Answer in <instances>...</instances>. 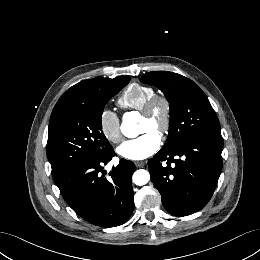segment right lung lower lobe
<instances>
[{"instance_id":"right-lung-lower-lobe-1","label":"right lung lower lobe","mask_w":260,"mask_h":260,"mask_svg":"<svg viewBox=\"0 0 260 260\" xmlns=\"http://www.w3.org/2000/svg\"><path fill=\"white\" fill-rule=\"evenodd\" d=\"M113 156L114 150L99 159L77 162L53 177L69 206L89 223L101 227L125 223L134 209V163L121 159L109 179L100 173Z\"/></svg>"}]
</instances>
